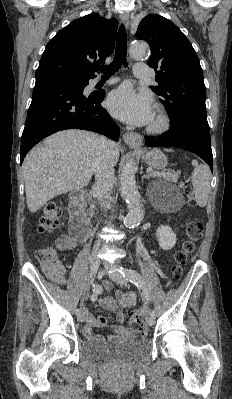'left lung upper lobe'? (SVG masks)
I'll return each instance as SVG.
<instances>
[{
  "instance_id": "5c2ea615",
  "label": "left lung upper lobe",
  "mask_w": 232,
  "mask_h": 399,
  "mask_svg": "<svg viewBox=\"0 0 232 399\" xmlns=\"http://www.w3.org/2000/svg\"><path fill=\"white\" fill-rule=\"evenodd\" d=\"M151 48L149 67L156 71L158 94L171 120L172 129H186L210 139L206 116V88L197 54L189 40L170 20L147 15L136 32Z\"/></svg>"
}]
</instances>
